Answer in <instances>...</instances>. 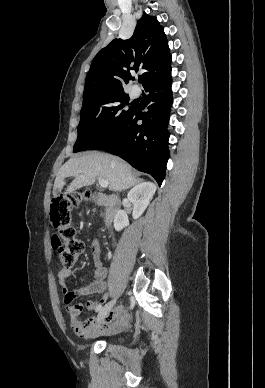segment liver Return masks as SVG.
Instances as JSON below:
<instances>
[{"instance_id":"1","label":"liver","mask_w":265,"mask_h":388,"mask_svg":"<svg viewBox=\"0 0 265 388\" xmlns=\"http://www.w3.org/2000/svg\"><path fill=\"white\" fill-rule=\"evenodd\" d=\"M69 176H74L75 180L68 186L67 192H74V190H79L83 186H92L96 178L108 180L109 190H112V192H122V190H128V188L142 182L140 178L134 176L131 166L121 158L109 156V154L90 152L88 156L70 158L60 168L53 186L54 198L58 196V192L63 190L66 184L64 180Z\"/></svg>"}]
</instances>
